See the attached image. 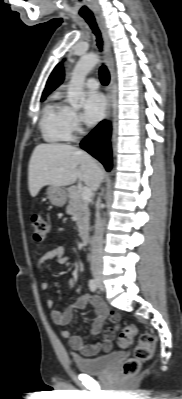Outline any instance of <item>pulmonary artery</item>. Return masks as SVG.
<instances>
[{
    "label": "pulmonary artery",
    "mask_w": 182,
    "mask_h": 399,
    "mask_svg": "<svg viewBox=\"0 0 182 399\" xmlns=\"http://www.w3.org/2000/svg\"><path fill=\"white\" fill-rule=\"evenodd\" d=\"M85 86L90 90H96L99 87V82L95 78H88L85 81Z\"/></svg>",
    "instance_id": "e3ab8cb5"
}]
</instances>
